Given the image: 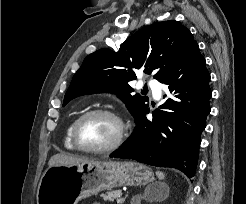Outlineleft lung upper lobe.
I'll return each mask as SVG.
<instances>
[{"label": "left lung upper lobe", "instance_id": "1", "mask_svg": "<svg viewBox=\"0 0 246 204\" xmlns=\"http://www.w3.org/2000/svg\"><path fill=\"white\" fill-rule=\"evenodd\" d=\"M195 44L191 32L177 21L146 26L127 38L119 50L105 48L88 55L72 78L63 106L77 96L113 92L136 120L148 108V98L130 94L129 82L136 79L135 72L154 73L162 83Z\"/></svg>", "mask_w": 246, "mask_h": 204}]
</instances>
